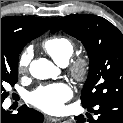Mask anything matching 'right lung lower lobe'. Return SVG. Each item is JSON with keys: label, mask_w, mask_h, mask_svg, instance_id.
<instances>
[{"label": "right lung lower lobe", "mask_w": 123, "mask_h": 123, "mask_svg": "<svg viewBox=\"0 0 123 123\" xmlns=\"http://www.w3.org/2000/svg\"><path fill=\"white\" fill-rule=\"evenodd\" d=\"M2 103L3 101H1V123H42L44 120L43 114L26 105L21 106L17 114H11L3 109Z\"/></svg>", "instance_id": "1"}]
</instances>
